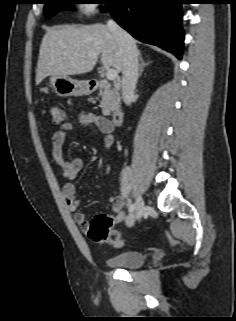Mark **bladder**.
<instances>
[{
    "label": "bladder",
    "instance_id": "bladder-1",
    "mask_svg": "<svg viewBox=\"0 0 236 321\" xmlns=\"http://www.w3.org/2000/svg\"><path fill=\"white\" fill-rule=\"evenodd\" d=\"M146 256L142 251L130 250L105 260L106 264L122 269H136L141 267L145 262Z\"/></svg>",
    "mask_w": 236,
    "mask_h": 321
}]
</instances>
